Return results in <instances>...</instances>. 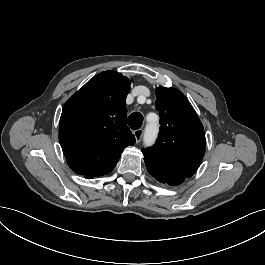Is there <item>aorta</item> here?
I'll return each mask as SVG.
<instances>
[{"label":"aorta","mask_w":265,"mask_h":265,"mask_svg":"<svg viewBox=\"0 0 265 265\" xmlns=\"http://www.w3.org/2000/svg\"><path fill=\"white\" fill-rule=\"evenodd\" d=\"M157 136V126L155 123H150L145 128L144 133V143L146 145H151L154 143Z\"/></svg>","instance_id":"obj_1"}]
</instances>
